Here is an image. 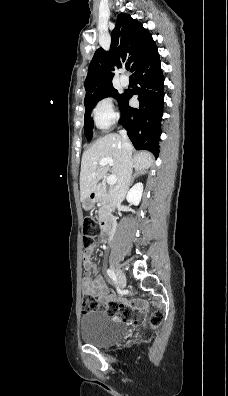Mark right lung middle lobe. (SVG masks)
Returning <instances> with one entry per match:
<instances>
[{"label":"right lung middle lobe","mask_w":228,"mask_h":396,"mask_svg":"<svg viewBox=\"0 0 228 396\" xmlns=\"http://www.w3.org/2000/svg\"><path fill=\"white\" fill-rule=\"evenodd\" d=\"M105 97H114L120 103L122 98L124 97V93L119 94L118 91L113 86H110L108 88H105L101 91L92 94L91 96H89L87 99L84 100L85 102L84 132L87 140H91L92 138L93 118H91V111L96 105V103Z\"/></svg>","instance_id":"right-lung-middle-lobe-1"}]
</instances>
